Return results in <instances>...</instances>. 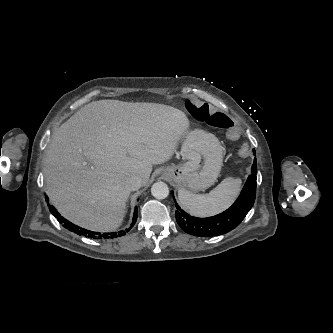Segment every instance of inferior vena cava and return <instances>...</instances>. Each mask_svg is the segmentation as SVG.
Returning <instances> with one entry per match:
<instances>
[{"label":"inferior vena cava","instance_id":"1","mask_svg":"<svg viewBox=\"0 0 333 333\" xmlns=\"http://www.w3.org/2000/svg\"><path fill=\"white\" fill-rule=\"evenodd\" d=\"M142 186V179L139 176H130L126 180V188L129 191L138 190Z\"/></svg>","mask_w":333,"mask_h":333}]
</instances>
